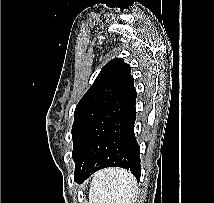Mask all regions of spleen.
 I'll list each match as a JSON object with an SVG mask.
<instances>
[{
  "label": "spleen",
  "instance_id": "obj_1",
  "mask_svg": "<svg viewBox=\"0 0 214 203\" xmlns=\"http://www.w3.org/2000/svg\"><path fill=\"white\" fill-rule=\"evenodd\" d=\"M137 182L128 171L111 168L95 174L89 203H134Z\"/></svg>",
  "mask_w": 214,
  "mask_h": 203
}]
</instances>
